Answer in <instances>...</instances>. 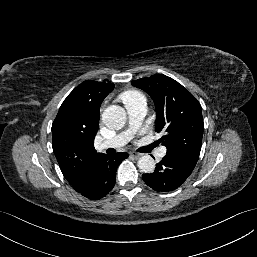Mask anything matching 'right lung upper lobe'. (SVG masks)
<instances>
[{"instance_id":"cb5924a9","label":"right lung upper lobe","mask_w":257,"mask_h":257,"mask_svg":"<svg viewBox=\"0 0 257 257\" xmlns=\"http://www.w3.org/2000/svg\"><path fill=\"white\" fill-rule=\"evenodd\" d=\"M113 83L86 80L64 100L52 124V146L60 169L75 190L82 188L103 156L94 149L99 110Z\"/></svg>"}]
</instances>
